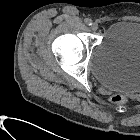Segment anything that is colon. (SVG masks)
Returning a JSON list of instances; mask_svg holds the SVG:
<instances>
[{
    "instance_id": "colon-1",
    "label": "colon",
    "mask_w": 140,
    "mask_h": 140,
    "mask_svg": "<svg viewBox=\"0 0 140 140\" xmlns=\"http://www.w3.org/2000/svg\"><path fill=\"white\" fill-rule=\"evenodd\" d=\"M110 100L112 103L117 104V105H123L127 102L126 96L120 93L113 94L110 97Z\"/></svg>"
}]
</instances>
